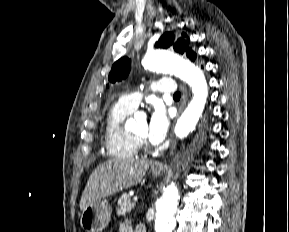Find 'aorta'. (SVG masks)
<instances>
[{
    "label": "aorta",
    "instance_id": "1",
    "mask_svg": "<svg viewBox=\"0 0 289 232\" xmlns=\"http://www.w3.org/2000/svg\"><path fill=\"white\" fill-rule=\"evenodd\" d=\"M142 63L148 70L172 73L191 87L193 97L175 126L176 136L186 137L195 129L207 101L208 85L203 72L191 62L176 58L164 50L148 52ZM132 124L134 122L130 121L129 127ZM178 200L177 187L174 184L169 185L156 203L155 232H172L174 230L176 225L174 213Z\"/></svg>",
    "mask_w": 289,
    "mask_h": 232
}]
</instances>
